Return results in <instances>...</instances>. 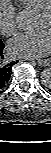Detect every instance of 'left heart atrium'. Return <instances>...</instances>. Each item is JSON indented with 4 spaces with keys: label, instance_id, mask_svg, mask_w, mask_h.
I'll return each mask as SVG.
<instances>
[{
    "label": "left heart atrium",
    "instance_id": "1",
    "mask_svg": "<svg viewBox=\"0 0 51 153\" xmlns=\"http://www.w3.org/2000/svg\"><path fill=\"white\" fill-rule=\"evenodd\" d=\"M8 49L14 55L24 58H39L49 54L51 35L48 30L23 33L8 42Z\"/></svg>",
    "mask_w": 51,
    "mask_h": 153
}]
</instances>
